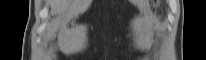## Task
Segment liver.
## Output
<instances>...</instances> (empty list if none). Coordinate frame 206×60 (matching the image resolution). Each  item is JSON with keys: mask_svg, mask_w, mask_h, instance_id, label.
Masks as SVG:
<instances>
[{"mask_svg": "<svg viewBox=\"0 0 206 60\" xmlns=\"http://www.w3.org/2000/svg\"><path fill=\"white\" fill-rule=\"evenodd\" d=\"M72 0H50L49 4L51 5V10L55 12H64Z\"/></svg>", "mask_w": 206, "mask_h": 60, "instance_id": "1", "label": "liver"}]
</instances>
